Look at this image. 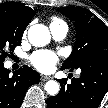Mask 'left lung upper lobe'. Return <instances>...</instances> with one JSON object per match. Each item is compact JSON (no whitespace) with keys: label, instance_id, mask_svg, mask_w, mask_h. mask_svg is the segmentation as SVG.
I'll list each match as a JSON object with an SVG mask.
<instances>
[{"label":"left lung upper lobe","instance_id":"left-lung-upper-lobe-1","mask_svg":"<svg viewBox=\"0 0 108 108\" xmlns=\"http://www.w3.org/2000/svg\"><path fill=\"white\" fill-rule=\"evenodd\" d=\"M59 12L75 22L76 42L62 69L99 66L108 60V27L84 8L63 7Z\"/></svg>","mask_w":108,"mask_h":108}]
</instances>
